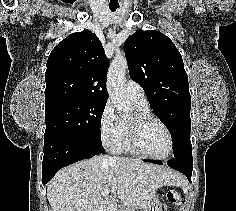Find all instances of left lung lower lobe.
<instances>
[{
    "label": "left lung lower lobe",
    "mask_w": 236,
    "mask_h": 211,
    "mask_svg": "<svg viewBox=\"0 0 236 211\" xmlns=\"http://www.w3.org/2000/svg\"><path fill=\"white\" fill-rule=\"evenodd\" d=\"M146 162H151L155 164H163L160 161L157 160H145ZM168 166L178 170L179 172L183 173L187 176L188 180L191 182V174L193 170V160L192 158H185V159H179L174 158L167 162Z\"/></svg>",
    "instance_id": "0a47b994"
}]
</instances>
